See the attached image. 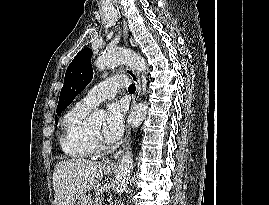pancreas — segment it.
Wrapping results in <instances>:
<instances>
[{
    "mask_svg": "<svg viewBox=\"0 0 269 205\" xmlns=\"http://www.w3.org/2000/svg\"><path fill=\"white\" fill-rule=\"evenodd\" d=\"M93 205H101L100 198H95Z\"/></svg>",
    "mask_w": 269,
    "mask_h": 205,
    "instance_id": "pancreas-1",
    "label": "pancreas"
}]
</instances>
